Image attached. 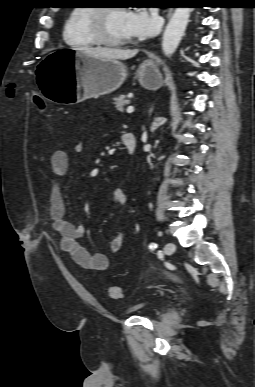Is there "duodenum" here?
I'll use <instances>...</instances> for the list:
<instances>
[{
  "instance_id": "410a0bca",
  "label": "duodenum",
  "mask_w": 255,
  "mask_h": 387,
  "mask_svg": "<svg viewBox=\"0 0 255 387\" xmlns=\"http://www.w3.org/2000/svg\"><path fill=\"white\" fill-rule=\"evenodd\" d=\"M122 142L129 154H133L137 147L136 137L132 133H125L122 135Z\"/></svg>"
}]
</instances>
